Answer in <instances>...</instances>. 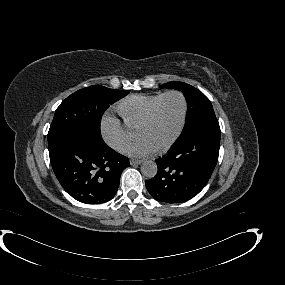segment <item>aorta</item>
Segmentation results:
<instances>
[{
	"instance_id": "aorta-1",
	"label": "aorta",
	"mask_w": 285,
	"mask_h": 285,
	"mask_svg": "<svg viewBox=\"0 0 285 285\" xmlns=\"http://www.w3.org/2000/svg\"><path fill=\"white\" fill-rule=\"evenodd\" d=\"M157 171L158 167L154 161H145L141 165V173L147 178H153L157 174Z\"/></svg>"
}]
</instances>
